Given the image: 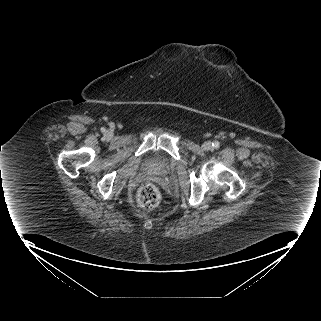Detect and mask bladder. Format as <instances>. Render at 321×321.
Wrapping results in <instances>:
<instances>
[{
    "mask_svg": "<svg viewBox=\"0 0 321 321\" xmlns=\"http://www.w3.org/2000/svg\"><path fill=\"white\" fill-rule=\"evenodd\" d=\"M148 172L156 175H164L168 172L169 166L167 163L158 160H149L146 164Z\"/></svg>",
    "mask_w": 321,
    "mask_h": 321,
    "instance_id": "bladder-1",
    "label": "bladder"
}]
</instances>
